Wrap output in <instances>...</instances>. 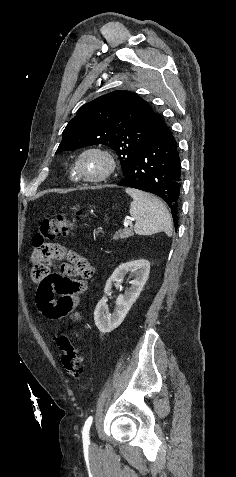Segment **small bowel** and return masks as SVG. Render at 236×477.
<instances>
[{
    "instance_id": "c3829d8e",
    "label": "small bowel",
    "mask_w": 236,
    "mask_h": 477,
    "mask_svg": "<svg viewBox=\"0 0 236 477\" xmlns=\"http://www.w3.org/2000/svg\"><path fill=\"white\" fill-rule=\"evenodd\" d=\"M51 246L57 252L44 260L41 267L43 274L38 278L33 277L38 283L35 305L39 313L49 321L68 317L71 324H77L82 320L78 307L82 302V295L88 289L87 280L92 277L93 268L91 266L90 273L82 272L84 263L90 264L84 256L57 243H51ZM51 261L60 263L58 272L49 269ZM73 277L78 279L71 280ZM55 295L59 297L55 299Z\"/></svg>"
}]
</instances>
